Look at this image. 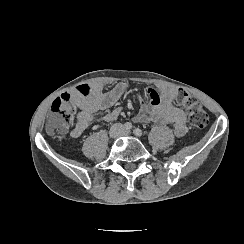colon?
<instances>
[{"label":"colon","mask_w":244,"mask_h":244,"mask_svg":"<svg viewBox=\"0 0 244 244\" xmlns=\"http://www.w3.org/2000/svg\"><path fill=\"white\" fill-rule=\"evenodd\" d=\"M76 92L79 95L90 97L93 94V89L90 86L79 84L76 87ZM175 102L188 111L189 122L193 127L203 129L208 125L209 119L206 111L191 93L178 91ZM75 114L76 108L71 103L70 95L63 93L57 96L51 104L50 115L46 124L47 130L53 134L66 133L74 120Z\"/></svg>","instance_id":"1"}]
</instances>
